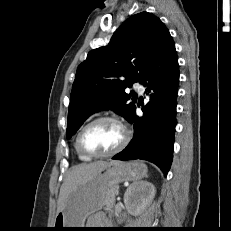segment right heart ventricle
I'll list each match as a JSON object with an SVG mask.
<instances>
[{"instance_id":"right-heart-ventricle-1","label":"right heart ventricle","mask_w":231,"mask_h":231,"mask_svg":"<svg viewBox=\"0 0 231 231\" xmlns=\"http://www.w3.org/2000/svg\"><path fill=\"white\" fill-rule=\"evenodd\" d=\"M77 136H78V134L76 135V138H75V141H74V148H75L76 154H77V156H78V158H79L80 160H82V161H88V160H90V158H88V157L82 155V154L79 152L78 148H77Z\"/></svg>"}]
</instances>
